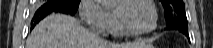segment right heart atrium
Wrapping results in <instances>:
<instances>
[{"mask_svg": "<svg viewBox=\"0 0 213 48\" xmlns=\"http://www.w3.org/2000/svg\"><path fill=\"white\" fill-rule=\"evenodd\" d=\"M79 13L82 21L94 32L105 34L113 20V14L99 1L82 0L79 4Z\"/></svg>", "mask_w": 213, "mask_h": 48, "instance_id": "1", "label": "right heart atrium"}]
</instances>
